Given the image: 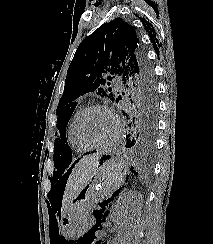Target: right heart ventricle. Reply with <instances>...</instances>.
Masks as SVG:
<instances>
[{"instance_id":"e07e8e85","label":"right heart ventricle","mask_w":213,"mask_h":244,"mask_svg":"<svg viewBox=\"0 0 213 244\" xmlns=\"http://www.w3.org/2000/svg\"><path fill=\"white\" fill-rule=\"evenodd\" d=\"M82 110L83 107H79L75 110L67 126V138L70 147L73 151L77 153H84L90 149L89 147L85 146L83 143L79 141L75 133V124Z\"/></svg>"}]
</instances>
